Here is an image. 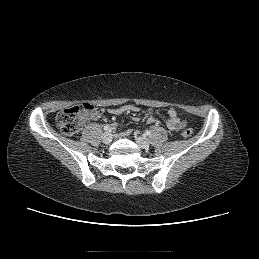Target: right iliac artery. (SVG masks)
I'll return each instance as SVG.
<instances>
[{
	"label": "right iliac artery",
	"mask_w": 259,
	"mask_h": 259,
	"mask_svg": "<svg viewBox=\"0 0 259 259\" xmlns=\"http://www.w3.org/2000/svg\"><path fill=\"white\" fill-rule=\"evenodd\" d=\"M104 130H105V131H109V130H110V126H109V125H105V126H104Z\"/></svg>",
	"instance_id": "82829eb1"
}]
</instances>
